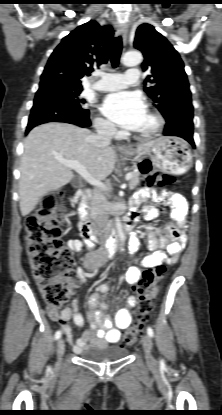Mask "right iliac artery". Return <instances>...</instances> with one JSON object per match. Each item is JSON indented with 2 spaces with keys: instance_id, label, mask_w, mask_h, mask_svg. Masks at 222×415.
<instances>
[{
  "instance_id": "obj_1",
  "label": "right iliac artery",
  "mask_w": 222,
  "mask_h": 415,
  "mask_svg": "<svg viewBox=\"0 0 222 415\" xmlns=\"http://www.w3.org/2000/svg\"><path fill=\"white\" fill-rule=\"evenodd\" d=\"M61 331L60 330H58L56 333H55V339H59L60 337H61Z\"/></svg>"
}]
</instances>
